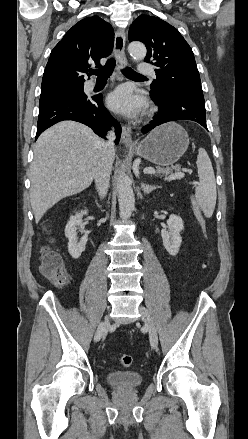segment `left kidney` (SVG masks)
Listing matches in <instances>:
<instances>
[{"mask_svg": "<svg viewBox=\"0 0 248 439\" xmlns=\"http://www.w3.org/2000/svg\"><path fill=\"white\" fill-rule=\"evenodd\" d=\"M167 225L168 229L161 231L163 245L171 256H176L182 242L181 232L184 229L183 220L179 216L172 214L167 220Z\"/></svg>", "mask_w": 248, "mask_h": 439, "instance_id": "left-kidney-1", "label": "left kidney"}]
</instances>
